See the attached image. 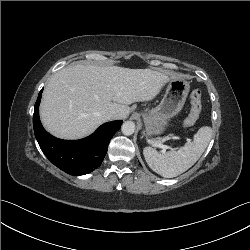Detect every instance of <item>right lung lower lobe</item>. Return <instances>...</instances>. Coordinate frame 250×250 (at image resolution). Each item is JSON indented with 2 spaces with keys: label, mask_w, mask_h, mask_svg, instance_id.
Instances as JSON below:
<instances>
[{
  "label": "right lung lower lobe",
  "mask_w": 250,
  "mask_h": 250,
  "mask_svg": "<svg viewBox=\"0 0 250 250\" xmlns=\"http://www.w3.org/2000/svg\"><path fill=\"white\" fill-rule=\"evenodd\" d=\"M42 90L33 115L34 133L41 150L51 163L70 175L78 176L94 171L104 160L108 144L120 129L122 121L104 123L91 136L82 140L58 139L44 130L39 119Z\"/></svg>",
  "instance_id": "1"
}]
</instances>
